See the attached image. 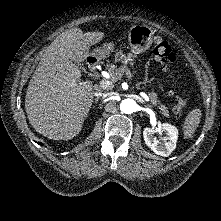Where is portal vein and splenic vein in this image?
Instances as JSON below:
<instances>
[{
  "label": "portal vein and splenic vein",
  "instance_id": "portal-vein-and-splenic-vein-1",
  "mask_svg": "<svg viewBox=\"0 0 221 221\" xmlns=\"http://www.w3.org/2000/svg\"><path fill=\"white\" fill-rule=\"evenodd\" d=\"M112 81H109V80H102L100 82V86L103 88V89H107L109 88L111 85H112ZM143 98L146 100V101H149V97L146 95V94H142Z\"/></svg>",
  "mask_w": 221,
  "mask_h": 221
}]
</instances>
